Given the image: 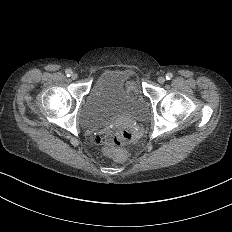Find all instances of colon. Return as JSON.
Listing matches in <instances>:
<instances>
[{
  "label": "colon",
  "mask_w": 232,
  "mask_h": 232,
  "mask_svg": "<svg viewBox=\"0 0 232 232\" xmlns=\"http://www.w3.org/2000/svg\"><path fill=\"white\" fill-rule=\"evenodd\" d=\"M138 83L134 79H129L125 83L123 94L127 98H133L137 94ZM139 135L138 127L131 121L122 120L110 125L109 130L99 131L95 138V143L105 152L112 151L115 147L132 143Z\"/></svg>",
  "instance_id": "5ec220e1"
}]
</instances>
